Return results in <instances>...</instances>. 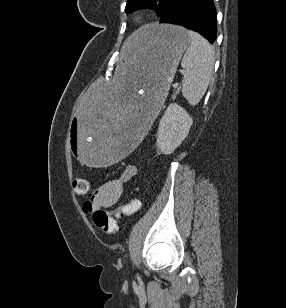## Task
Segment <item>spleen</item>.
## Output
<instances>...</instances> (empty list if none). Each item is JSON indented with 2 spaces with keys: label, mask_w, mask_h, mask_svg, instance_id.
Returning a JSON list of instances; mask_svg holds the SVG:
<instances>
[{
  "label": "spleen",
  "mask_w": 286,
  "mask_h": 308,
  "mask_svg": "<svg viewBox=\"0 0 286 308\" xmlns=\"http://www.w3.org/2000/svg\"><path fill=\"white\" fill-rule=\"evenodd\" d=\"M191 43L181 61L184 69L182 95L192 106L204 96L214 65V52L208 41L194 31H187Z\"/></svg>",
  "instance_id": "spleen-1"
}]
</instances>
